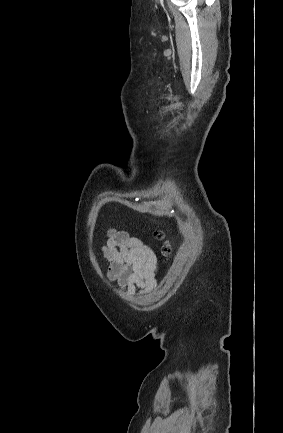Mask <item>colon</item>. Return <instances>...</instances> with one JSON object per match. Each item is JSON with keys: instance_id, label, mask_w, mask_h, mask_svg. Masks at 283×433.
<instances>
[{"instance_id": "colon-1", "label": "colon", "mask_w": 283, "mask_h": 433, "mask_svg": "<svg viewBox=\"0 0 283 433\" xmlns=\"http://www.w3.org/2000/svg\"><path fill=\"white\" fill-rule=\"evenodd\" d=\"M155 237L162 242L161 244V253L164 256H169L172 252V245L169 240L165 238V235L162 231H156Z\"/></svg>"}]
</instances>
